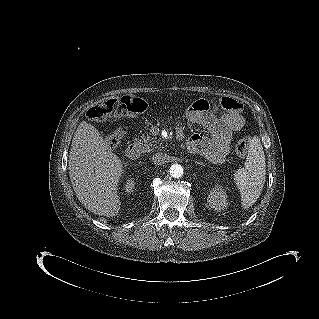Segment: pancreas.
<instances>
[{
  "instance_id": "cf45deb5",
  "label": "pancreas",
  "mask_w": 319,
  "mask_h": 319,
  "mask_svg": "<svg viewBox=\"0 0 319 319\" xmlns=\"http://www.w3.org/2000/svg\"><path fill=\"white\" fill-rule=\"evenodd\" d=\"M136 143L139 145L143 153H150L158 148L157 141L149 135L142 136L141 139H136Z\"/></svg>"
}]
</instances>
